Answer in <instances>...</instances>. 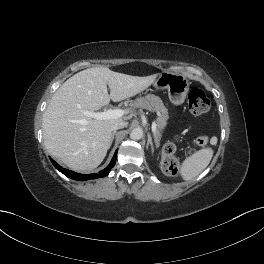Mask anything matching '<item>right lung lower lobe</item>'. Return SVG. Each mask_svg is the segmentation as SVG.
Wrapping results in <instances>:
<instances>
[{
	"mask_svg": "<svg viewBox=\"0 0 264 264\" xmlns=\"http://www.w3.org/2000/svg\"><path fill=\"white\" fill-rule=\"evenodd\" d=\"M116 156H117V151L115 152L110 164L102 171H100L98 174H79L75 173L73 171L67 170L62 168L59 164H57L53 159H51L52 164L55 166L57 170H59L61 173L66 175L67 177L74 179V180H79V181H85L89 179H96V178H101L105 177L109 174L110 170L116 163Z\"/></svg>",
	"mask_w": 264,
	"mask_h": 264,
	"instance_id": "right-lung-lower-lobe-1",
	"label": "right lung lower lobe"
}]
</instances>
